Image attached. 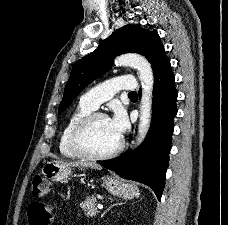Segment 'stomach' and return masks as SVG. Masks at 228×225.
I'll list each match as a JSON object with an SVG mask.
<instances>
[{"label": "stomach", "mask_w": 228, "mask_h": 225, "mask_svg": "<svg viewBox=\"0 0 228 225\" xmlns=\"http://www.w3.org/2000/svg\"><path fill=\"white\" fill-rule=\"evenodd\" d=\"M73 169L66 163L61 161H47L44 163L42 169V175L54 183H64L70 177ZM103 187L110 195L115 197H121V199H133L135 195H138L139 191L136 185H130V183H124L120 181L118 177H104Z\"/></svg>", "instance_id": "0dacf381"}]
</instances>
